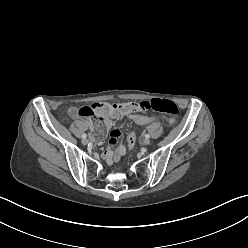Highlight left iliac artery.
Segmentation results:
<instances>
[{
    "label": "left iliac artery",
    "instance_id": "1",
    "mask_svg": "<svg viewBox=\"0 0 248 248\" xmlns=\"http://www.w3.org/2000/svg\"><path fill=\"white\" fill-rule=\"evenodd\" d=\"M145 138L149 139L150 138V135L149 134H146L145 135Z\"/></svg>",
    "mask_w": 248,
    "mask_h": 248
}]
</instances>
